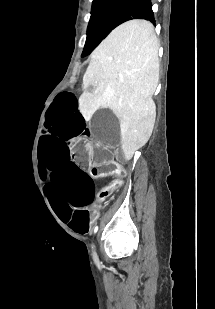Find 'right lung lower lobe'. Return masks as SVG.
<instances>
[{"mask_svg": "<svg viewBox=\"0 0 215 309\" xmlns=\"http://www.w3.org/2000/svg\"><path fill=\"white\" fill-rule=\"evenodd\" d=\"M132 19H146L155 23L151 0H132L118 20L117 26Z\"/></svg>", "mask_w": 215, "mask_h": 309, "instance_id": "obj_1", "label": "right lung lower lobe"}]
</instances>
